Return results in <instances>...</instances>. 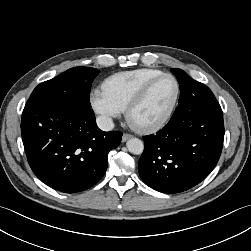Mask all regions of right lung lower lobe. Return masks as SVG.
Instances as JSON below:
<instances>
[{
    "mask_svg": "<svg viewBox=\"0 0 251 251\" xmlns=\"http://www.w3.org/2000/svg\"><path fill=\"white\" fill-rule=\"evenodd\" d=\"M21 133L34 174L65 193L95 185L106 172L108 153L122 138L120 131H101L92 109L64 108L35 99L24 107Z\"/></svg>",
    "mask_w": 251,
    "mask_h": 251,
    "instance_id": "1",
    "label": "right lung lower lobe"
}]
</instances>
